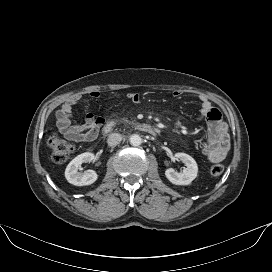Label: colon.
Returning <instances> with one entry per match:
<instances>
[{
    "label": "colon",
    "mask_w": 272,
    "mask_h": 272,
    "mask_svg": "<svg viewBox=\"0 0 272 272\" xmlns=\"http://www.w3.org/2000/svg\"><path fill=\"white\" fill-rule=\"evenodd\" d=\"M47 145L51 150V158L56 164L65 163L74 150L73 146L69 142L57 134H53L48 138ZM223 171L224 166L221 164L213 165L210 169L213 176H219L223 173Z\"/></svg>",
    "instance_id": "obj_1"
}]
</instances>
